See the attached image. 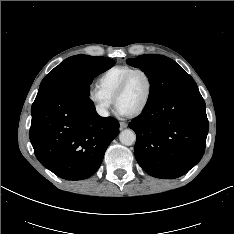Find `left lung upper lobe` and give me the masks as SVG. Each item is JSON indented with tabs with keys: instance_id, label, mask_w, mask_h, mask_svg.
I'll return each mask as SVG.
<instances>
[{
	"instance_id": "5c2ea615",
	"label": "left lung upper lobe",
	"mask_w": 234,
	"mask_h": 234,
	"mask_svg": "<svg viewBox=\"0 0 234 234\" xmlns=\"http://www.w3.org/2000/svg\"><path fill=\"white\" fill-rule=\"evenodd\" d=\"M127 63L140 68L150 81V95L146 107L152 106L181 85L194 81L181 66L166 56L140 55L135 59H127Z\"/></svg>"
}]
</instances>
